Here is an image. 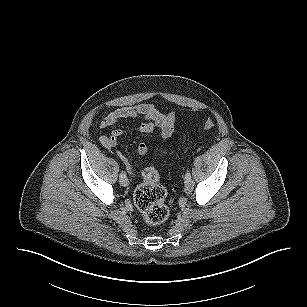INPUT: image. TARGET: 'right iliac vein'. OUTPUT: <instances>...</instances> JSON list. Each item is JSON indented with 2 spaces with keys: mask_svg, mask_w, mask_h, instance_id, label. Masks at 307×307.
<instances>
[{
  "mask_svg": "<svg viewBox=\"0 0 307 307\" xmlns=\"http://www.w3.org/2000/svg\"><path fill=\"white\" fill-rule=\"evenodd\" d=\"M120 184L124 187L128 186L129 185V181H128V178L126 176L120 178Z\"/></svg>",
  "mask_w": 307,
  "mask_h": 307,
  "instance_id": "obj_1",
  "label": "right iliac vein"
}]
</instances>
